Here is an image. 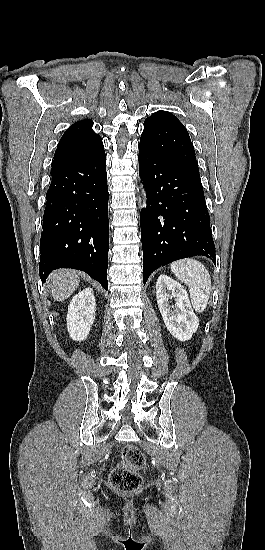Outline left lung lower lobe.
<instances>
[{
  "mask_svg": "<svg viewBox=\"0 0 265 550\" xmlns=\"http://www.w3.org/2000/svg\"><path fill=\"white\" fill-rule=\"evenodd\" d=\"M147 207L140 213L144 285L157 268L203 255L216 263L200 176L139 144Z\"/></svg>",
  "mask_w": 265,
  "mask_h": 550,
  "instance_id": "obj_1",
  "label": "left lung lower lobe"
}]
</instances>
